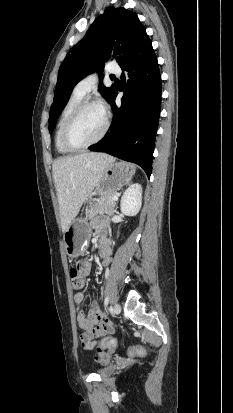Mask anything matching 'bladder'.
<instances>
[{"label": "bladder", "instance_id": "31cf9c89", "mask_svg": "<svg viewBox=\"0 0 233 413\" xmlns=\"http://www.w3.org/2000/svg\"><path fill=\"white\" fill-rule=\"evenodd\" d=\"M115 366L111 363L105 364L102 368H100L97 373L102 377L110 376L114 373Z\"/></svg>", "mask_w": 233, "mask_h": 413}]
</instances>
